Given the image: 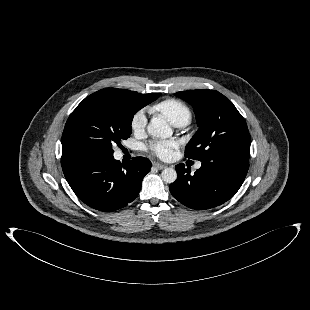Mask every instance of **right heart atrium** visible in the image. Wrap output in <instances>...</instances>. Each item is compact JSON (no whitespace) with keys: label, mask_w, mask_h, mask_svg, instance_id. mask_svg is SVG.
Returning a JSON list of instances; mask_svg holds the SVG:
<instances>
[{"label":"right heart atrium","mask_w":310,"mask_h":310,"mask_svg":"<svg viewBox=\"0 0 310 310\" xmlns=\"http://www.w3.org/2000/svg\"><path fill=\"white\" fill-rule=\"evenodd\" d=\"M146 115L143 111H138L134 114L131 121V128L135 133H141L144 131L146 126Z\"/></svg>","instance_id":"obj_1"}]
</instances>
